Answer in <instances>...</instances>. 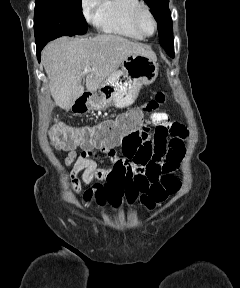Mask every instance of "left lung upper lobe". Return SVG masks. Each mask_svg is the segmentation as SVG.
I'll list each match as a JSON object with an SVG mask.
<instances>
[{
  "label": "left lung upper lobe",
  "mask_w": 240,
  "mask_h": 288,
  "mask_svg": "<svg viewBox=\"0 0 240 288\" xmlns=\"http://www.w3.org/2000/svg\"><path fill=\"white\" fill-rule=\"evenodd\" d=\"M151 8L159 29V41L167 52L174 53L173 24L168 8L169 0H144Z\"/></svg>",
  "instance_id": "obj_1"
}]
</instances>
